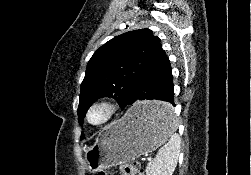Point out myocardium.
<instances>
[{
  "mask_svg": "<svg viewBox=\"0 0 251 175\" xmlns=\"http://www.w3.org/2000/svg\"><path fill=\"white\" fill-rule=\"evenodd\" d=\"M97 106H103L108 110L107 118L101 123H94L91 120V112ZM123 106L121 102L110 95L102 96L93 100L87 107L85 118L89 125L95 128H105L113 124L122 114Z\"/></svg>",
  "mask_w": 251,
  "mask_h": 175,
  "instance_id": "1",
  "label": "myocardium"
}]
</instances>
